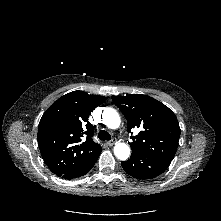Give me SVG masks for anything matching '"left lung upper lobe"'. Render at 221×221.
I'll use <instances>...</instances> for the list:
<instances>
[{"instance_id":"5c2ea615","label":"left lung upper lobe","mask_w":221,"mask_h":221,"mask_svg":"<svg viewBox=\"0 0 221 221\" xmlns=\"http://www.w3.org/2000/svg\"><path fill=\"white\" fill-rule=\"evenodd\" d=\"M114 104L127 120V130L139 128L131 136L132 154L145 158L172 161L180 137V127L175 114L156 99L143 94L112 97Z\"/></svg>"}]
</instances>
